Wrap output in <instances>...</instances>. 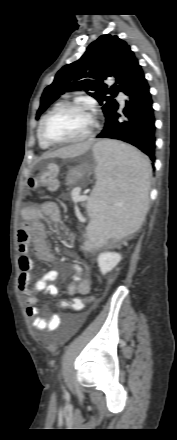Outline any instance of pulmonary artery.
Wrapping results in <instances>:
<instances>
[{
	"mask_svg": "<svg viewBox=\"0 0 177 440\" xmlns=\"http://www.w3.org/2000/svg\"><path fill=\"white\" fill-rule=\"evenodd\" d=\"M118 102H119V104H120L121 106L124 105V103H125V97H124V95L120 94V95L118 96Z\"/></svg>",
	"mask_w": 177,
	"mask_h": 440,
	"instance_id": "1",
	"label": "pulmonary artery"
}]
</instances>
